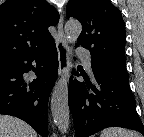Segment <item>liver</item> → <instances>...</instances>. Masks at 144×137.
<instances>
[{
	"mask_svg": "<svg viewBox=\"0 0 144 137\" xmlns=\"http://www.w3.org/2000/svg\"><path fill=\"white\" fill-rule=\"evenodd\" d=\"M0 137H37V133L16 117L0 115Z\"/></svg>",
	"mask_w": 144,
	"mask_h": 137,
	"instance_id": "liver-1",
	"label": "liver"
}]
</instances>
